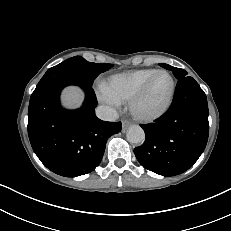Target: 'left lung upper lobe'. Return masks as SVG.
I'll list each match as a JSON object with an SVG mask.
<instances>
[{"mask_svg": "<svg viewBox=\"0 0 231 231\" xmlns=\"http://www.w3.org/2000/svg\"><path fill=\"white\" fill-rule=\"evenodd\" d=\"M160 66H162L163 68H166L168 70H172L173 71V74L174 76L179 80L183 77H186L187 75V72L183 69H180V68H176V67H172L170 65H167V64H160Z\"/></svg>", "mask_w": 231, "mask_h": 231, "instance_id": "left-lung-upper-lobe-1", "label": "left lung upper lobe"}]
</instances>
